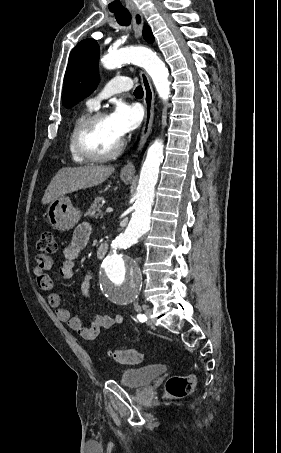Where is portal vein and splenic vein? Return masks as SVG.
<instances>
[{"label": "portal vein and splenic vein", "mask_w": 281, "mask_h": 453, "mask_svg": "<svg viewBox=\"0 0 281 453\" xmlns=\"http://www.w3.org/2000/svg\"><path fill=\"white\" fill-rule=\"evenodd\" d=\"M112 210H113V208H109V206H108V208H106V212H109V214H113Z\"/></svg>", "instance_id": "portal-vein-and-splenic-vein-1"}]
</instances>
